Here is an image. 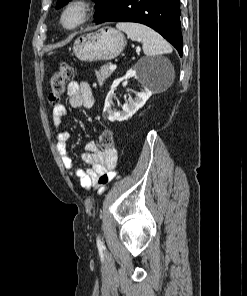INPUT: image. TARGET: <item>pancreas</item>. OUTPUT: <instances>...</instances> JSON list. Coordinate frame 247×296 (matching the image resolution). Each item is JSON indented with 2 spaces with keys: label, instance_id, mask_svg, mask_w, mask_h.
<instances>
[{
  "label": "pancreas",
  "instance_id": "cf45deb5",
  "mask_svg": "<svg viewBox=\"0 0 247 296\" xmlns=\"http://www.w3.org/2000/svg\"><path fill=\"white\" fill-rule=\"evenodd\" d=\"M113 70L109 69V65H103L98 71L95 72L99 85H103L105 80L111 76Z\"/></svg>",
  "mask_w": 247,
  "mask_h": 296
}]
</instances>
